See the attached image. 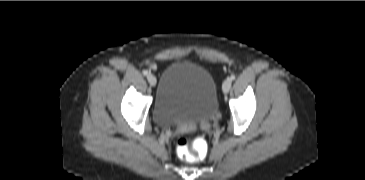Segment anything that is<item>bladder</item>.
Returning <instances> with one entry per match:
<instances>
[{
	"label": "bladder",
	"instance_id": "31cf9c89",
	"mask_svg": "<svg viewBox=\"0 0 365 180\" xmlns=\"http://www.w3.org/2000/svg\"><path fill=\"white\" fill-rule=\"evenodd\" d=\"M217 110V85L208 69L190 61H175L164 69L152 109L158 125L210 120Z\"/></svg>",
	"mask_w": 365,
	"mask_h": 180
}]
</instances>
